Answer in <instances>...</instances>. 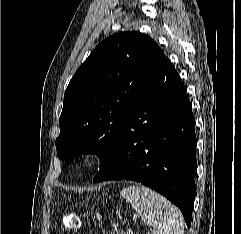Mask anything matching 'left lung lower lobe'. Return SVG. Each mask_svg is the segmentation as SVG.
Segmentation results:
<instances>
[{"instance_id": "0a47b994", "label": "left lung lower lobe", "mask_w": 241, "mask_h": 234, "mask_svg": "<svg viewBox=\"0 0 241 234\" xmlns=\"http://www.w3.org/2000/svg\"><path fill=\"white\" fill-rule=\"evenodd\" d=\"M195 148L191 103L179 74L164 57L131 105L115 147L93 182H141L179 207L190 227Z\"/></svg>"}]
</instances>
